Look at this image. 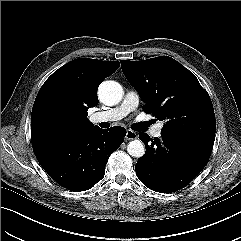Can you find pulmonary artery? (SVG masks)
I'll use <instances>...</instances> for the list:
<instances>
[{"mask_svg":"<svg viewBox=\"0 0 241 241\" xmlns=\"http://www.w3.org/2000/svg\"><path fill=\"white\" fill-rule=\"evenodd\" d=\"M138 105V94L135 91H128L120 105L105 111L96 112L91 115L90 119L94 123L118 121L136 110ZM161 130L162 124H157L152 128L151 135L153 137H159Z\"/></svg>","mask_w":241,"mask_h":241,"instance_id":"1","label":"pulmonary artery"}]
</instances>
